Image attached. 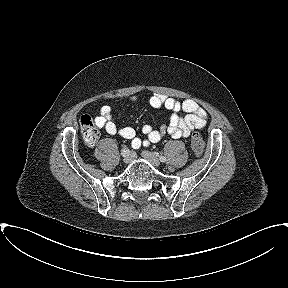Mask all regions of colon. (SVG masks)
I'll list each match as a JSON object with an SVG mask.
<instances>
[{
	"instance_id": "5ec220e1",
	"label": "colon",
	"mask_w": 288,
	"mask_h": 288,
	"mask_svg": "<svg viewBox=\"0 0 288 288\" xmlns=\"http://www.w3.org/2000/svg\"><path fill=\"white\" fill-rule=\"evenodd\" d=\"M80 126L83 139L86 144L93 145L99 139V131L90 115H83L80 118ZM191 148L196 156H201L204 151V141L199 133H193L191 137Z\"/></svg>"
}]
</instances>
